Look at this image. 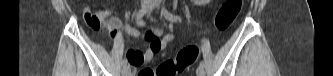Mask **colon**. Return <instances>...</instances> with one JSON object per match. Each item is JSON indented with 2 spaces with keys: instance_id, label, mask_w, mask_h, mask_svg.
Masks as SVG:
<instances>
[{
  "instance_id": "obj_1",
  "label": "colon",
  "mask_w": 333,
  "mask_h": 76,
  "mask_svg": "<svg viewBox=\"0 0 333 76\" xmlns=\"http://www.w3.org/2000/svg\"><path fill=\"white\" fill-rule=\"evenodd\" d=\"M243 0H227L218 10L215 17V28L218 32H225L235 21L242 9ZM199 56V48L187 45L180 50L176 58H170L151 68L142 69L138 76H176L195 63Z\"/></svg>"
}]
</instances>
